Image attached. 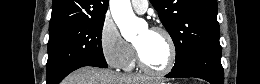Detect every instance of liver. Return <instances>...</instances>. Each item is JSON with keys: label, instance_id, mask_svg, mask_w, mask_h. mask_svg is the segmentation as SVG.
<instances>
[{"label": "liver", "instance_id": "6515ba94", "mask_svg": "<svg viewBox=\"0 0 260 84\" xmlns=\"http://www.w3.org/2000/svg\"><path fill=\"white\" fill-rule=\"evenodd\" d=\"M65 84H157L143 75H125L108 69L82 67L71 73Z\"/></svg>", "mask_w": 260, "mask_h": 84}]
</instances>
